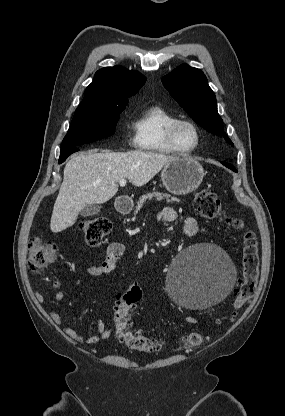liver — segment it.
Returning <instances> with one entry per match:
<instances>
[{"mask_svg":"<svg viewBox=\"0 0 285 416\" xmlns=\"http://www.w3.org/2000/svg\"><path fill=\"white\" fill-rule=\"evenodd\" d=\"M81 152L67 162L64 180L54 204L51 232L73 226L88 204H105L118 192L119 180L128 178L133 186H145L164 166L176 160L164 152Z\"/></svg>","mask_w":285,"mask_h":416,"instance_id":"6515ba94","label":"liver"}]
</instances>
